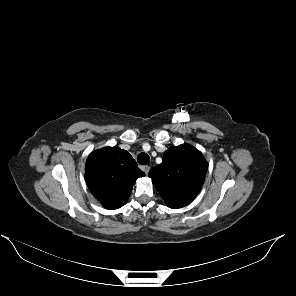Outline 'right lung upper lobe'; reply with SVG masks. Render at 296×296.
I'll return each instance as SVG.
<instances>
[{"label": "right lung upper lobe", "mask_w": 296, "mask_h": 296, "mask_svg": "<svg viewBox=\"0 0 296 296\" xmlns=\"http://www.w3.org/2000/svg\"><path fill=\"white\" fill-rule=\"evenodd\" d=\"M143 176L131 154L118 146L95 150L86 161V184L106 209L125 204L136 180Z\"/></svg>", "instance_id": "obj_1"}]
</instances>
